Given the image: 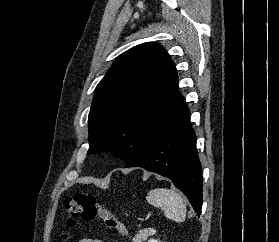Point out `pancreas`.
Returning <instances> with one entry per match:
<instances>
[{
    "instance_id": "1",
    "label": "pancreas",
    "mask_w": 279,
    "mask_h": 242,
    "mask_svg": "<svg viewBox=\"0 0 279 242\" xmlns=\"http://www.w3.org/2000/svg\"><path fill=\"white\" fill-rule=\"evenodd\" d=\"M153 230L152 229H143L140 230L139 233H137L134 237H133V242H142L144 240H146L150 235L153 234Z\"/></svg>"
}]
</instances>
